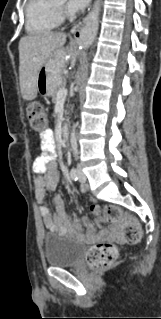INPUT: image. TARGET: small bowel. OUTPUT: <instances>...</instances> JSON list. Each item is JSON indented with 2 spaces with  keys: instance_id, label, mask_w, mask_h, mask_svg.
Returning <instances> with one entry per match:
<instances>
[{
  "instance_id": "1",
  "label": "small bowel",
  "mask_w": 161,
  "mask_h": 319,
  "mask_svg": "<svg viewBox=\"0 0 161 319\" xmlns=\"http://www.w3.org/2000/svg\"><path fill=\"white\" fill-rule=\"evenodd\" d=\"M41 154L36 157L33 162L32 170L35 174L34 186L35 196L39 204V212L44 226L49 231H58L61 234H71L82 236L85 233L87 239H96L95 226L83 219L72 221L71 215L65 208V203L60 194L54 196V204L56 211L52 213L45 200L48 191H55L57 186V174L55 172L56 149L55 137L52 131L48 130L40 133ZM53 144V146H49ZM82 191H85L83 188ZM99 222L104 224L105 221L100 219ZM120 226L117 223L110 225L109 232L104 234L102 238L119 237Z\"/></svg>"
}]
</instances>
